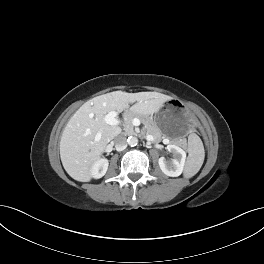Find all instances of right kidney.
Listing matches in <instances>:
<instances>
[{
	"label": "right kidney",
	"instance_id": "ca27d5eb",
	"mask_svg": "<svg viewBox=\"0 0 264 264\" xmlns=\"http://www.w3.org/2000/svg\"><path fill=\"white\" fill-rule=\"evenodd\" d=\"M108 165H109L108 160L105 158L96 161L91 169L92 177L95 179H99L103 177L107 172Z\"/></svg>",
	"mask_w": 264,
	"mask_h": 264
}]
</instances>
